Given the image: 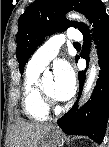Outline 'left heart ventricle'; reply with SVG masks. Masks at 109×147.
<instances>
[{
  "mask_svg": "<svg viewBox=\"0 0 109 147\" xmlns=\"http://www.w3.org/2000/svg\"><path fill=\"white\" fill-rule=\"evenodd\" d=\"M54 86H55L54 80L53 79H50V80H47L42 85V88H43V90L46 93H48L50 96H52L53 98H55V96H54Z\"/></svg>",
  "mask_w": 109,
  "mask_h": 147,
  "instance_id": "left-heart-ventricle-1",
  "label": "left heart ventricle"
}]
</instances>
